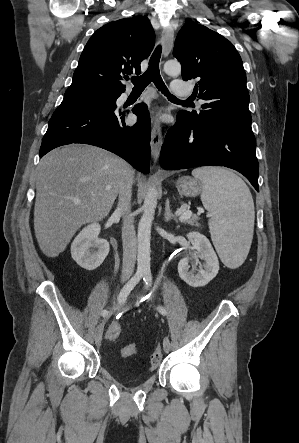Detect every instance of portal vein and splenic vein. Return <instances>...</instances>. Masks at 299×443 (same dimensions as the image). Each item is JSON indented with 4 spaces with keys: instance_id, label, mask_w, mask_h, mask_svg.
Returning <instances> with one entry per match:
<instances>
[{
    "instance_id": "obj_1",
    "label": "portal vein and splenic vein",
    "mask_w": 299,
    "mask_h": 443,
    "mask_svg": "<svg viewBox=\"0 0 299 443\" xmlns=\"http://www.w3.org/2000/svg\"><path fill=\"white\" fill-rule=\"evenodd\" d=\"M78 203H79V202H77V204H78ZM202 212H203V209H200V210L198 211V214H201ZM192 216H193V214H192L191 211H185V212H183V213L180 215V217H179V221L185 223V222L189 221V220L191 219Z\"/></svg>"
}]
</instances>
